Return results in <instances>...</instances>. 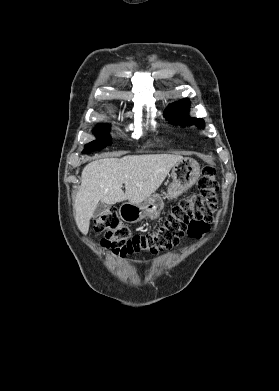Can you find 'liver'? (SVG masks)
<instances>
[{
    "label": "liver",
    "instance_id": "6515ba94",
    "mask_svg": "<svg viewBox=\"0 0 279 391\" xmlns=\"http://www.w3.org/2000/svg\"><path fill=\"white\" fill-rule=\"evenodd\" d=\"M182 159L181 155L147 154L90 162L82 171L81 186L74 201L78 229L84 235L88 233L90 219L100 202L113 205L125 200L132 204L145 201Z\"/></svg>",
    "mask_w": 279,
    "mask_h": 391
}]
</instances>
